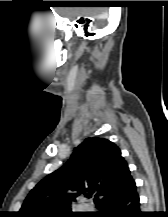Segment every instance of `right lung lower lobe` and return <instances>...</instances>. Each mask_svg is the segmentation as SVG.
I'll return each mask as SVG.
<instances>
[{
	"label": "right lung lower lobe",
	"instance_id": "98d812e1",
	"mask_svg": "<svg viewBox=\"0 0 168 217\" xmlns=\"http://www.w3.org/2000/svg\"><path fill=\"white\" fill-rule=\"evenodd\" d=\"M139 196L136 187L125 196L118 197L105 204L100 212L92 217H144L140 211Z\"/></svg>",
	"mask_w": 168,
	"mask_h": 217
}]
</instances>
